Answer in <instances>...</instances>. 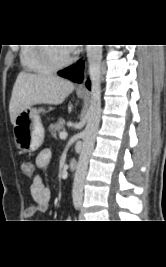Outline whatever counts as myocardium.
<instances>
[{
	"instance_id": "obj_1",
	"label": "myocardium",
	"mask_w": 166,
	"mask_h": 267,
	"mask_svg": "<svg viewBox=\"0 0 166 267\" xmlns=\"http://www.w3.org/2000/svg\"><path fill=\"white\" fill-rule=\"evenodd\" d=\"M48 45L49 44H41V46H39V54L42 60L53 69L67 67L75 60V56L72 54H70V56L64 61L57 60L51 50V46Z\"/></svg>"
}]
</instances>
